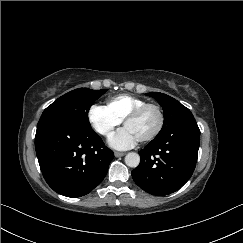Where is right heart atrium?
Listing matches in <instances>:
<instances>
[{
    "mask_svg": "<svg viewBox=\"0 0 243 243\" xmlns=\"http://www.w3.org/2000/svg\"><path fill=\"white\" fill-rule=\"evenodd\" d=\"M87 119L93 130L105 137L121 124V120L107 106L99 104L89 107Z\"/></svg>",
    "mask_w": 243,
    "mask_h": 243,
    "instance_id": "right-heart-atrium-1",
    "label": "right heart atrium"
}]
</instances>
